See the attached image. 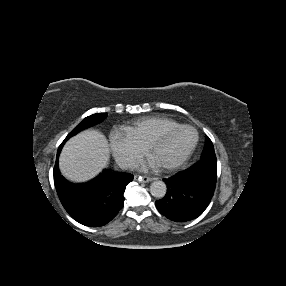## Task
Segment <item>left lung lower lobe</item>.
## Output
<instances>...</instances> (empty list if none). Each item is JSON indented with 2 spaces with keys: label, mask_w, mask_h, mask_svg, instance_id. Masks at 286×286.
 Segmentation results:
<instances>
[{
  "label": "left lung lower lobe",
  "mask_w": 286,
  "mask_h": 286,
  "mask_svg": "<svg viewBox=\"0 0 286 286\" xmlns=\"http://www.w3.org/2000/svg\"><path fill=\"white\" fill-rule=\"evenodd\" d=\"M217 178L215 155L201 158L188 169L164 179L166 195L155 202L167 218L185 222L199 217L209 205Z\"/></svg>",
  "instance_id": "left-lung-lower-lobe-1"
}]
</instances>
